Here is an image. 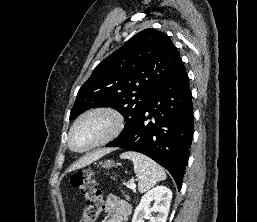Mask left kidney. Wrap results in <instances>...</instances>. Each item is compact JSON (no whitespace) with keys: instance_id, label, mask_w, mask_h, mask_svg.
<instances>
[{"instance_id":"left-kidney-1","label":"left kidney","mask_w":257,"mask_h":222,"mask_svg":"<svg viewBox=\"0 0 257 222\" xmlns=\"http://www.w3.org/2000/svg\"><path fill=\"white\" fill-rule=\"evenodd\" d=\"M172 199V191L165 186H157L145 193L139 205L135 209L132 222H144L143 218L152 212L157 213L156 217H150V222H166L170 203ZM154 202L153 207L150 204Z\"/></svg>"}]
</instances>
